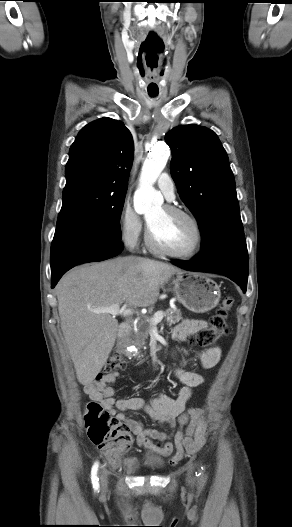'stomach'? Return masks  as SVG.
Instances as JSON below:
<instances>
[{
    "mask_svg": "<svg viewBox=\"0 0 292 527\" xmlns=\"http://www.w3.org/2000/svg\"><path fill=\"white\" fill-rule=\"evenodd\" d=\"M172 284L178 301L194 313L208 312L219 303V286L204 274L178 272Z\"/></svg>",
    "mask_w": 292,
    "mask_h": 527,
    "instance_id": "stomach-1",
    "label": "stomach"
}]
</instances>
